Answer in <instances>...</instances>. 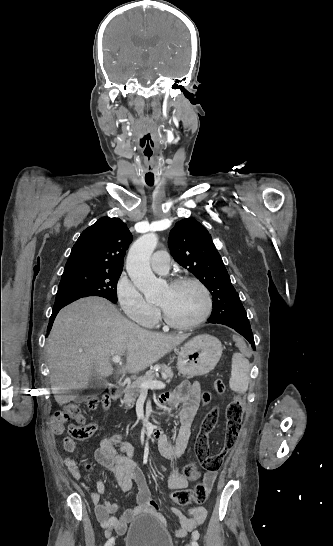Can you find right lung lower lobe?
Instances as JSON below:
<instances>
[{"instance_id": "obj_1", "label": "right lung lower lobe", "mask_w": 333, "mask_h": 546, "mask_svg": "<svg viewBox=\"0 0 333 546\" xmlns=\"http://www.w3.org/2000/svg\"><path fill=\"white\" fill-rule=\"evenodd\" d=\"M61 309V308H60ZM60 309H54L53 312H52V315L50 317V321H49V325H48V329L47 331H50L51 330V326L53 324V321L57 315V313L59 312Z\"/></svg>"}]
</instances>
